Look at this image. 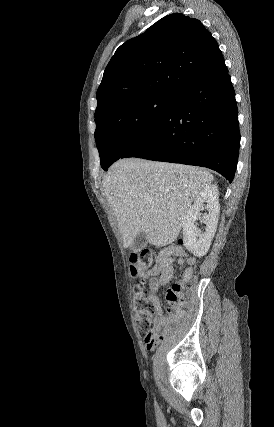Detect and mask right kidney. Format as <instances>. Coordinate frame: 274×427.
Masks as SVG:
<instances>
[{"instance_id": "1", "label": "right kidney", "mask_w": 274, "mask_h": 427, "mask_svg": "<svg viewBox=\"0 0 274 427\" xmlns=\"http://www.w3.org/2000/svg\"><path fill=\"white\" fill-rule=\"evenodd\" d=\"M204 202H207L208 214L201 217L206 223L205 231L202 233L200 229H197L195 221L201 215L200 210L203 208ZM219 214L220 204L217 186L214 184L203 186V190L197 194L193 206L183 217V245L197 257H202L207 253L217 229Z\"/></svg>"}]
</instances>
